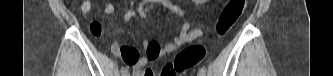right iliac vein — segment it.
<instances>
[{
  "mask_svg": "<svg viewBox=\"0 0 333 76\" xmlns=\"http://www.w3.org/2000/svg\"><path fill=\"white\" fill-rule=\"evenodd\" d=\"M128 75V73H126V74H123V76H127Z\"/></svg>",
  "mask_w": 333,
  "mask_h": 76,
  "instance_id": "1",
  "label": "right iliac vein"
}]
</instances>
